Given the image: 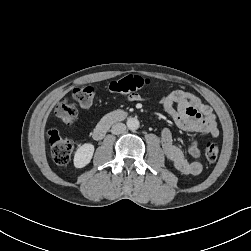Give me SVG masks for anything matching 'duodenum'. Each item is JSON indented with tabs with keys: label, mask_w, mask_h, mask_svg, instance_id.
I'll list each match as a JSON object with an SVG mask.
<instances>
[{
	"label": "duodenum",
	"mask_w": 251,
	"mask_h": 251,
	"mask_svg": "<svg viewBox=\"0 0 251 251\" xmlns=\"http://www.w3.org/2000/svg\"><path fill=\"white\" fill-rule=\"evenodd\" d=\"M126 117L123 111H115L105 115L96 125L93 130V137L95 139H102L112 125L122 121Z\"/></svg>",
	"instance_id": "410a0bca"
}]
</instances>
